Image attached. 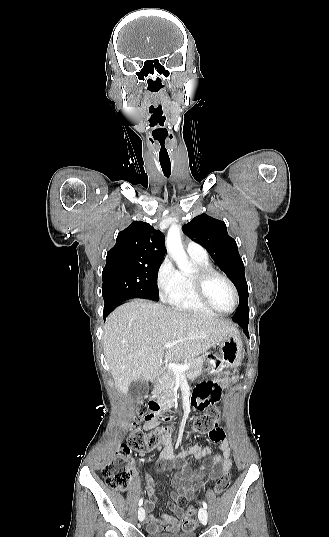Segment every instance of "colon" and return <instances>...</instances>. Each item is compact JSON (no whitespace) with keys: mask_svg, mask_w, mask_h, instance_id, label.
I'll return each instance as SVG.
<instances>
[{"mask_svg":"<svg viewBox=\"0 0 329 537\" xmlns=\"http://www.w3.org/2000/svg\"><path fill=\"white\" fill-rule=\"evenodd\" d=\"M220 417V409L217 407L211 408L194 420L189 433H209L212 429H215L220 433ZM143 420L147 423H151L154 422L155 418L146 406L140 405L136 416L131 423L127 440L120 444L114 457L102 468L101 474L105 483L113 491L124 492L130 487L133 477V468L129 455L132 451L140 453L150 452L170 436L171 430L169 427L156 428L146 433L141 428V422ZM230 482V473H222L215 484V492L218 494L224 492L229 487ZM194 513V505L186 507L185 513L181 519L183 532L185 534L192 535L196 531V521L193 517Z\"/></svg>","mask_w":329,"mask_h":537,"instance_id":"colon-1","label":"colon"}]
</instances>
